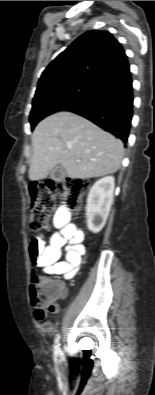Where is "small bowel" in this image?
<instances>
[{"mask_svg":"<svg viewBox=\"0 0 155 395\" xmlns=\"http://www.w3.org/2000/svg\"><path fill=\"white\" fill-rule=\"evenodd\" d=\"M53 225L58 229L49 239L47 237H32L27 249V260H31L33 270H43L47 274L62 275L68 279L72 277L82 263L85 253L83 244L84 234L71 222L69 212L59 208L53 218ZM65 260H60L62 254ZM59 312V307L52 311ZM34 317L44 332H52L55 324L47 320L46 309L35 310Z\"/></svg>","mask_w":155,"mask_h":395,"instance_id":"obj_1","label":"small bowel"}]
</instances>
